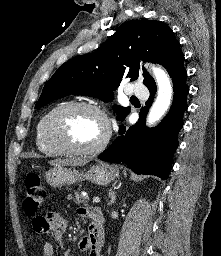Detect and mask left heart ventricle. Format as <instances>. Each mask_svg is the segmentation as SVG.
Returning a JSON list of instances; mask_svg holds the SVG:
<instances>
[{"mask_svg":"<svg viewBox=\"0 0 221 256\" xmlns=\"http://www.w3.org/2000/svg\"><path fill=\"white\" fill-rule=\"evenodd\" d=\"M55 131L71 145L91 147L104 136L105 124L96 113L85 109H74L63 113L55 126Z\"/></svg>","mask_w":221,"mask_h":256,"instance_id":"left-heart-ventricle-1","label":"left heart ventricle"}]
</instances>
